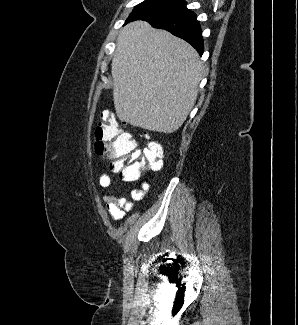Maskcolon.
Returning a JSON list of instances; mask_svg holds the SVG:
<instances>
[{
  "mask_svg": "<svg viewBox=\"0 0 298 325\" xmlns=\"http://www.w3.org/2000/svg\"><path fill=\"white\" fill-rule=\"evenodd\" d=\"M97 153L106 159L110 168L126 181H134L143 175L156 172L163 165V152L156 142L141 153L131 133L125 131L111 111L101 114L95 129Z\"/></svg>",
  "mask_w": 298,
  "mask_h": 325,
  "instance_id": "obj_1",
  "label": "colon"
}]
</instances>
